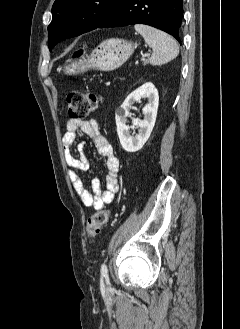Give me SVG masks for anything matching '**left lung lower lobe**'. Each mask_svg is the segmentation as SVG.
<instances>
[{
	"instance_id": "obj_1",
	"label": "left lung lower lobe",
	"mask_w": 240,
	"mask_h": 329,
	"mask_svg": "<svg viewBox=\"0 0 240 329\" xmlns=\"http://www.w3.org/2000/svg\"><path fill=\"white\" fill-rule=\"evenodd\" d=\"M182 17L183 0H121L98 27L146 24L169 33L181 43Z\"/></svg>"
}]
</instances>
